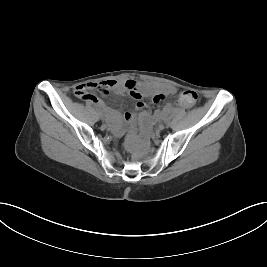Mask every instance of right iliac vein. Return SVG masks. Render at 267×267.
Returning <instances> with one entry per match:
<instances>
[{
  "label": "right iliac vein",
  "instance_id": "obj_1",
  "mask_svg": "<svg viewBox=\"0 0 267 267\" xmlns=\"http://www.w3.org/2000/svg\"><path fill=\"white\" fill-rule=\"evenodd\" d=\"M99 117H100V118H103V115H102V113H99Z\"/></svg>",
  "mask_w": 267,
  "mask_h": 267
}]
</instances>
